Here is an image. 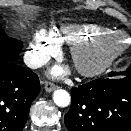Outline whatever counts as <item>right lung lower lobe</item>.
Masks as SVG:
<instances>
[{"instance_id": "98d812e1", "label": "right lung lower lobe", "mask_w": 131, "mask_h": 131, "mask_svg": "<svg viewBox=\"0 0 131 131\" xmlns=\"http://www.w3.org/2000/svg\"><path fill=\"white\" fill-rule=\"evenodd\" d=\"M39 90L34 72L0 56V131L23 130Z\"/></svg>"}]
</instances>
